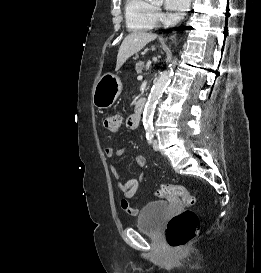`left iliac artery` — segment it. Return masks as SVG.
<instances>
[{
  "label": "left iliac artery",
  "mask_w": 261,
  "mask_h": 273,
  "mask_svg": "<svg viewBox=\"0 0 261 273\" xmlns=\"http://www.w3.org/2000/svg\"><path fill=\"white\" fill-rule=\"evenodd\" d=\"M146 138H147V140H148L149 143L152 142V139H153V129H151V128L147 129Z\"/></svg>",
  "instance_id": "44dca946"
}]
</instances>
